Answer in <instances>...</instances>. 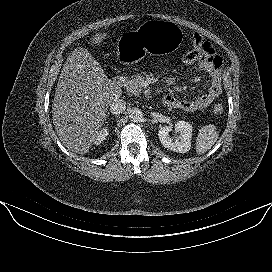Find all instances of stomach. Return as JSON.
Wrapping results in <instances>:
<instances>
[{
  "instance_id": "obj_1",
  "label": "stomach",
  "mask_w": 272,
  "mask_h": 272,
  "mask_svg": "<svg viewBox=\"0 0 272 272\" xmlns=\"http://www.w3.org/2000/svg\"><path fill=\"white\" fill-rule=\"evenodd\" d=\"M184 39L183 30L174 22L148 20L137 30L124 33L117 42L118 60L136 63L145 54H159L178 49Z\"/></svg>"
}]
</instances>
